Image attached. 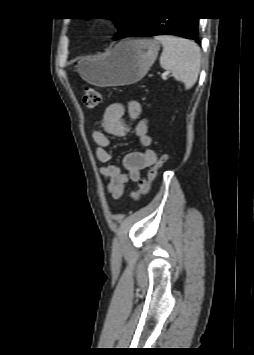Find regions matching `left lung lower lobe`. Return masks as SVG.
<instances>
[{"label": "left lung lower lobe", "instance_id": "0a47b994", "mask_svg": "<svg viewBox=\"0 0 254 355\" xmlns=\"http://www.w3.org/2000/svg\"><path fill=\"white\" fill-rule=\"evenodd\" d=\"M198 19V17L137 18L134 26L121 38L177 35L200 43Z\"/></svg>", "mask_w": 254, "mask_h": 355}]
</instances>
